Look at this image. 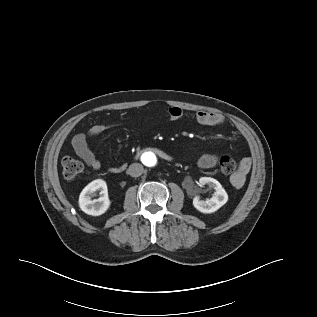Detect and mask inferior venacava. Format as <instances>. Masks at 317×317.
<instances>
[{
    "mask_svg": "<svg viewBox=\"0 0 317 317\" xmlns=\"http://www.w3.org/2000/svg\"><path fill=\"white\" fill-rule=\"evenodd\" d=\"M144 168L140 163H133L129 166L127 173L132 177H139L143 174Z\"/></svg>",
    "mask_w": 317,
    "mask_h": 317,
    "instance_id": "obj_1",
    "label": "inferior vena cava"
}]
</instances>
